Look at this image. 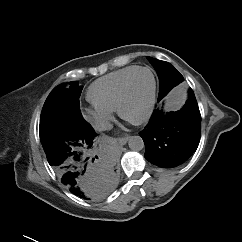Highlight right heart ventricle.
Here are the masks:
<instances>
[{
	"label": "right heart ventricle",
	"mask_w": 242,
	"mask_h": 242,
	"mask_svg": "<svg viewBox=\"0 0 242 242\" xmlns=\"http://www.w3.org/2000/svg\"><path fill=\"white\" fill-rule=\"evenodd\" d=\"M137 67L127 66L94 81L87 92L88 100L98 108L116 110L122 85Z\"/></svg>",
	"instance_id": "obj_1"
}]
</instances>
